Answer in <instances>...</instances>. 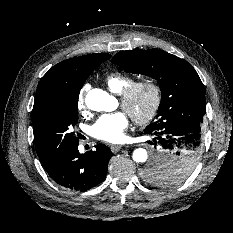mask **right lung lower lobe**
Listing matches in <instances>:
<instances>
[{"instance_id": "1", "label": "right lung lower lobe", "mask_w": 233, "mask_h": 233, "mask_svg": "<svg viewBox=\"0 0 233 233\" xmlns=\"http://www.w3.org/2000/svg\"><path fill=\"white\" fill-rule=\"evenodd\" d=\"M79 142L55 154L40 157L45 170L59 185L84 192L102 182L107 173V165L113 153L102 144L94 151L80 154Z\"/></svg>"}]
</instances>
